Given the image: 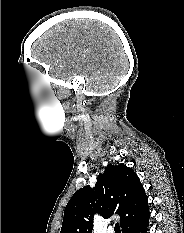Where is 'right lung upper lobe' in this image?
Masks as SVG:
<instances>
[{
    "mask_svg": "<svg viewBox=\"0 0 184 233\" xmlns=\"http://www.w3.org/2000/svg\"><path fill=\"white\" fill-rule=\"evenodd\" d=\"M147 207L137 174L125 164H109L93 189L87 185L73 194L65 207L60 233H92L95 213L104 219L119 214L122 227Z\"/></svg>",
    "mask_w": 184,
    "mask_h": 233,
    "instance_id": "1",
    "label": "right lung upper lobe"
}]
</instances>
